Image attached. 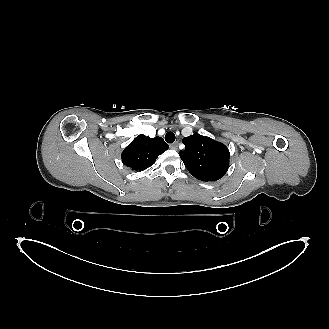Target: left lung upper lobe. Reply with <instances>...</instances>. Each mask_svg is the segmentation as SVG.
Here are the masks:
<instances>
[{
    "label": "left lung upper lobe",
    "instance_id": "1",
    "mask_svg": "<svg viewBox=\"0 0 329 329\" xmlns=\"http://www.w3.org/2000/svg\"><path fill=\"white\" fill-rule=\"evenodd\" d=\"M185 150L179 152L187 170L201 181H216L228 170V148L209 137L194 133L184 137Z\"/></svg>",
    "mask_w": 329,
    "mask_h": 329
}]
</instances>
